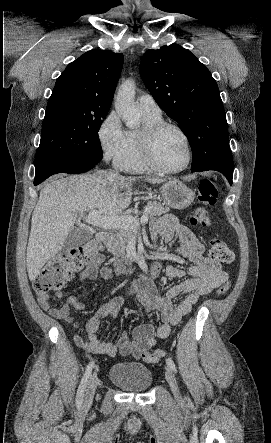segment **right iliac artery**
Returning <instances> with one entry per match:
<instances>
[{"instance_id":"obj_1","label":"right iliac artery","mask_w":271,"mask_h":443,"mask_svg":"<svg viewBox=\"0 0 271 443\" xmlns=\"http://www.w3.org/2000/svg\"><path fill=\"white\" fill-rule=\"evenodd\" d=\"M94 367V361L90 362L87 365L86 371L82 377L81 383L79 385L78 391H77V396H76V405L78 407L81 406L82 402H83V396H84V392H85V388L88 382V379L91 375L92 372V368Z\"/></svg>"}]
</instances>
